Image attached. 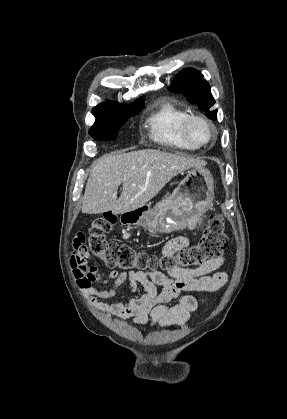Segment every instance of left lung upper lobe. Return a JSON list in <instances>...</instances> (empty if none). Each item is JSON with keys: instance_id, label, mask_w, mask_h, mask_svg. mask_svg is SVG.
Returning <instances> with one entry per match:
<instances>
[{"instance_id": "obj_1", "label": "left lung upper lobe", "mask_w": 287, "mask_h": 419, "mask_svg": "<svg viewBox=\"0 0 287 419\" xmlns=\"http://www.w3.org/2000/svg\"><path fill=\"white\" fill-rule=\"evenodd\" d=\"M202 78L203 75L199 71L186 68L177 74L168 89L175 93H183L196 107L205 111L208 118L216 120L217 110L210 109L215 100L208 82Z\"/></svg>"}]
</instances>
